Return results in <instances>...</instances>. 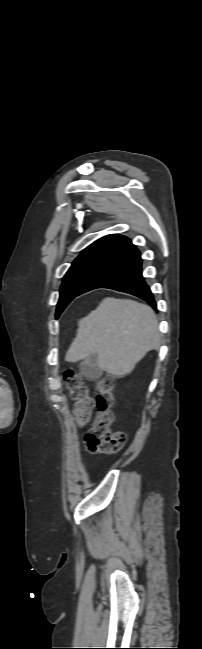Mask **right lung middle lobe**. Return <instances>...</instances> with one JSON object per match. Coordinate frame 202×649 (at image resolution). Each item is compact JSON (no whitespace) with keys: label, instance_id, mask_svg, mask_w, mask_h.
I'll use <instances>...</instances> for the list:
<instances>
[{"label":"right lung middle lobe","instance_id":"obj_1","mask_svg":"<svg viewBox=\"0 0 202 649\" xmlns=\"http://www.w3.org/2000/svg\"><path fill=\"white\" fill-rule=\"evenodd\" d=\"M115 255L91 253L78 256L63 278L60 289V299L57 305L56 318L65 307L79 295L84 285Z\"/></svg>","mask_w":202,"mask_h":649}]
</instances>
